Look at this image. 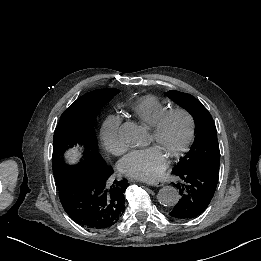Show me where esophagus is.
I'll use <instances>...</instances> for the list:
<instances>
[{"label": "esophagus", "instance_id": "esophagus-1", "mask_svg": "<svg viewBox=\"0 0 261 261\" xmlns=\"http://www.w3.org/2000/svg\"><path fill=\"white\" fill-rule=\"evenodd\" d=\"M144 183L150 186H157V187H160L164 184L162 181L159 180H145Z\"/></svg>", "mask_w": 261, "mask_h": 261}]
</instances>
